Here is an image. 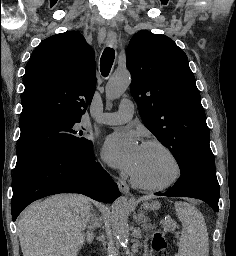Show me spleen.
Returning a JSON list of instances; mask_svg holds the SVG:
<instances>
[{
  "mask_svg": "<svg viewBox=\"0 0 236 256\" xmlns=\"http://www.w3.org/2000/svg\"><path fill=\"white\" fill-rule=\"evenodd\" d=\"M174 206L182 222V236L176 256H208L209 238L204 216L187 202H175Z\"/></svg>",
  "mask_w": 236,
  "mask_h": 256,
  "instance_id": "1",
  "label": "spleen"
}]
</instances>
